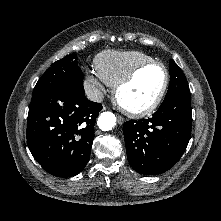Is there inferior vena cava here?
Here are the masks:
<instances>
[{
	"label": "inferior vena cava",
	"mask_w": 221,
	"mask_h": 221,
	"mask_svg": "<svg viewBox=\"0 0 221 221\" xmlns=\"http://www.w3.org/2000/svg\"><path fill=\"white\" fill-rule=\"evenodd\" d=\"M86 96L89 100L94 102H101L103 100V93L93 86L86 89Z\"/></svg>",
	"instance_id": "1"
}]
</instances>
